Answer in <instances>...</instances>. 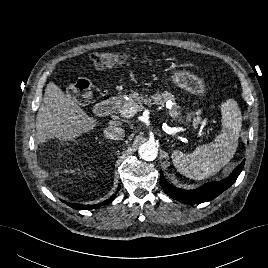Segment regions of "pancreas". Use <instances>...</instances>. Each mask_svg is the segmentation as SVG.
I'll use <instances>...</instances> for the list:
<instances>
[{
    "label": "pancreas",
    "mask_w": 268,
    "mask_h": 268,
    "mask_svg": "<svg viewBox=\"0 0 268 268\" xmlns=\"http://www.w3.org/2000/svg\"><path fill=\"white\" fill-rule=\"evenodd\" d=\"M129 100L123 101L122 103H119L117 105V109L121 110L126 107H131V106H137V107H142L143 104L151 105V104H158L162 107L166 106V103L168 101H171V103L167 104V108H169V114L174 120L181 121V112H180V107L177 105L175 101L174 95L168 92L164 93H159L152 95L150 97L148 96H143L139 95L136 92H133L129 95ZM191 117V114L188 115L189 119Z\"/></svg>",
    "instance_id": "obj_1"
}]
</instances>
